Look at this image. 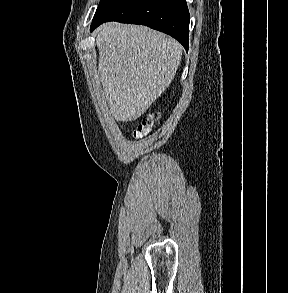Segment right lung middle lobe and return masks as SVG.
<instances>
[{
  "label": "right lung middle lobe",
  "mask_w": 288,
  "mask_h": 293,
  "mask_svg": "<svg viewBox=\"0 0 288 293\" xmlns=\"http://www.w3.org/2000/svg\"><path fill=\"white\" fill-rule=\"evenodd\" d=\"M127 0H100L91 27L101 24Z\"/></svg>",
  "instance_id": "obj_1"
}]
</instances>
